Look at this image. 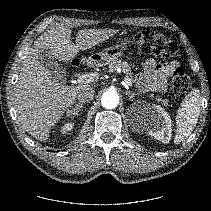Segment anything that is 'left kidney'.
<instances>
[{"mask_svg": "<svg viewBox=\"0 0 211 211\" xmlns=\"http://www.w3.org/2000/svg\"><path fill=\"white\" fill-rule=\"evenodd\" d=\"M149 135L155 139L168 143L171 139V119L168 113L159 105H153L151 118L147 123Z\"/></svg>", "mask_w": 211, "mask_h": 211, "instance_id": "left-kidney-1", "label": "left kidney"}]
</instances>
